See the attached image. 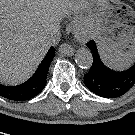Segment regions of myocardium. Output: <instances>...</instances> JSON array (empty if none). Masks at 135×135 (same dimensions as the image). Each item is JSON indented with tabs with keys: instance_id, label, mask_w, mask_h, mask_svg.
I'll return each mask as SVG.
<instances>
[{
	"instance_id": "f54148a6",
	"label": "myocardium",
	"mask_w": 135,
	"mask_h": 135,
	"mask_svg": "<svg viewBox=\"0 0 135 135\" xmlns=\"http://www.w3.org/2000/svg\"><path fill=\"white\" fill-rule=\"evenodd\" d=\"M95 28V21L93 18H83L78 21L74 27V34L78 39L89 38Z\"/></svg>"
}]
</instances>
